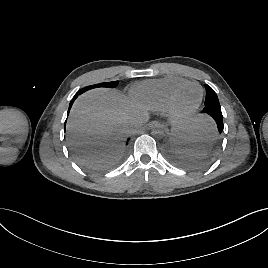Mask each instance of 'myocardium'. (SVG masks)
<instances>
[{"mask_svg": "<svg viewBox=\"0 0 268 268\" xmlns=\"http://www.w3.org/2000/svg\"><path fill=\"white\" fill-rule=\"evenodd\" d=\"M191 86H196L199 88V91H200L199 100L192 108L188 110H184V111L180 110L176 105L177 98L186 88L191 87ZM203 96H204V91H203V88L199 84L195 82H188L186 84L179 86L171 93L166 104V109L171 116L177 119L187 118L190 115H192L194 112H196L197 109L200 107L202 100H203Z\"/></svg>", "mask_w": 268, "mask_h": 268, "instance_id": "1", "label": "myocardium"}]
</instances>
